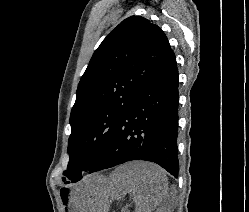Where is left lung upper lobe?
Wrapping results in <instances>:
<instances>
[{
    "mask_svg": "<svg viewBox=\"0 0 249 212\" xmlns=\"http://www.w3.org/2000/svg\"><path fill=\"white\" fill-rule=\"evenodd\" d=\"M170 50L164 32L140 16L123 20L107 35L77 88L63 175L73 182L96 165L118 120Z\"/></svg>",
    "mask_w": 249,
    "mask_h": 212,
    "instance_id": "5c2ea615",
    "label": "left lung upper lobe"
}]
</instances>
